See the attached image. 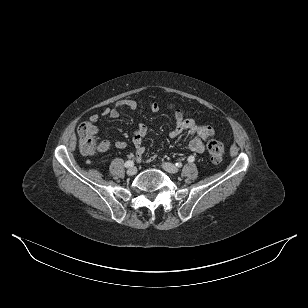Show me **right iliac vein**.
Listing matches in <instances>:
<instances>
[{
	"label": "right iliac vein",
	"mask_w": 308,
	"mask_h": 308,
	"mask_svg": "<svg viewBox=\"0 0 308 308\" xmlns=\"http://www.w3.org/2000/svg\"><path fill=\"white\" fill-rule=\"evenodd\" d=\"M136 173H137V168L134 167V166L130 167V168L127 170V174H128L129 176H133V175H135Z\"/></svg>",
	"instance_id": "right-iliac-vein-1"
}]
</instances>
